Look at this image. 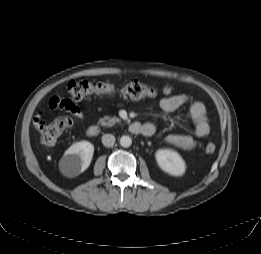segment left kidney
<instances>
[{"instance_id":"left-kidney-1","label":"left kidney","mask_w":261,"mask_h":254,"mask_svg":"<svg viewBox=\"0 0 261 254\" xmlns=\"http://www.w3.org/2000/svg\"><path fill=\"white\" fill-rule=\"evenodd\" d=\"M155 158L164 172L173 176H182L185 173V162L177 152L161 149L156 152Z\"/></svg>"}]
</instances>
